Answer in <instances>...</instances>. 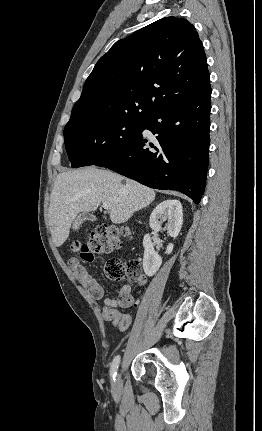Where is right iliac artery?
<instances>
[{"mask_svg": "<svg viewBox=\"0 0 262 431\" xmlns=\"http://www.w3.org/2000/svg\"><path fill=\"white\" fill-rule=\"evenodd\" d=\"M119 362H120V356L117 355L112 362V366H111V370H110V375L114 381H115V376L117 373L116 371H117V368L119 366Z\"/></svg>", "mask_w": 262, "mask_h": 431, "instance_id": "1", "label": "right iliac artery"}]
</instances>
